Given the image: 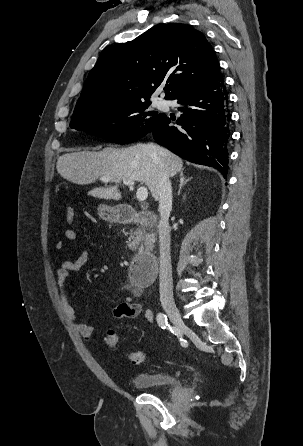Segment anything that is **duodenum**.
Listing matches in <instances>:
<instances>
[{"label": "duodenum", "instance_id": "obj_1", "mask_svg": "<svg viewBox=\"0 0 303 446\" xmlns=\"http://www.w3.org/2000/svg\"><path fill=\"white\" fill-rule=\"evenodd\" d=\"M116 218L121 223H137L152 227L157 223V216L152 211H136L131 207L117 210ZM158 271V262L151 253L137 254L131 263V279L135 287L142 288L150 284Z\"/></svg>", "mask_w": 303, "mask_h": 446}]
</instances>
